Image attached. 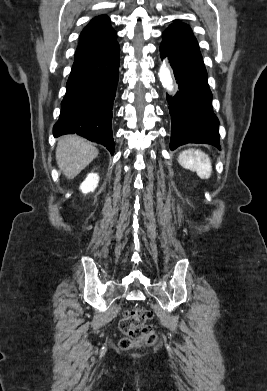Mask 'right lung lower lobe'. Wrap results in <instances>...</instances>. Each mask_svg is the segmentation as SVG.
<instances>
[{
    "label": "right lung lower lobe",
    "instance_id": "right-lung-lower-lobe-1",
    "mask_svg": "<svg viewBox=\"0 0 267 391\" xmlns=\"http://www.w3.org/2000/svg\"><path fill=\"white\" fill-rule=\"evenodd\" d=\"M118 43L74 59L62 100L55 137L78 134L104 145L113 154L112 110L119 73Z\"/></svg>",
    "mask_w": 267,
    "mask_h": 391
}]
</instances>
